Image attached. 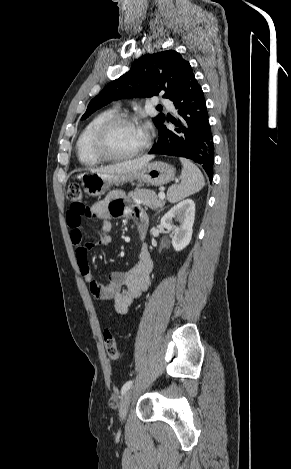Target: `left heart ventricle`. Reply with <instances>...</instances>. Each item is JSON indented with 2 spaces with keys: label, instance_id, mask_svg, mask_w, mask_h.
I'll return each instance as SVG.
<instances>
[{
  "label": "left heart ventricle",
  "instance_id": "left-heart-ventricle-1",
  "mask_svg": "<svg viewBox=\"0 0 291 469\" xmlns=\"http://www.w3.org/2000/svg\"><path fill=\"white\" fill-rule=\"evenodd\" d=\"M146 140L140 127L132 124L116 126L109 138V146L113 153L125 155L138 150Z\"/></svg>",
  "mask_w": 291,
  "mask_h": 469
}]
</instances>
